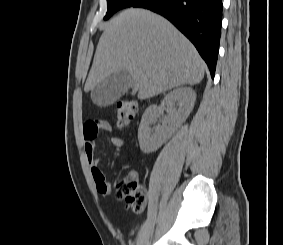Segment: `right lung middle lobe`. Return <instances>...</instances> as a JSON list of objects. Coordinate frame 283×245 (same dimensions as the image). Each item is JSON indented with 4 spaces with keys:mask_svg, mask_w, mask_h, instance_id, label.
<instances>
[{
    "mask_svg": "<svg viewBox=\"0 0 283 245\" xmlns=\"http://www.w3.org/2000/svg\"><path fill=\"white\" fill-rule=\"evenodd\" d=\"M139 0H107L108 9L104 20L110 18L115 12L120 9L131 7L133 4L137 3Z\"/></svg>",
    "mask_w": 283,
    "mask_h": 245,
    "instance_id": "1",
    "label": "right lung middle lobe"
}]
</instances>
